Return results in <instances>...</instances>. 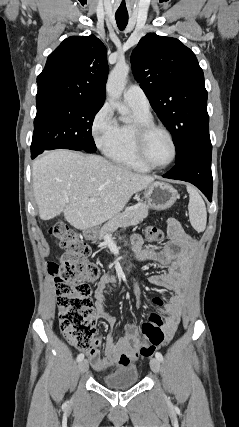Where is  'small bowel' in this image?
Wrapping results in <instances>:
<instances>
[{"label": "small bowel", "instance_id": "obj_1", "mask_svg": "<svg viewBox=\"0 0 239 427\" xmlns=\"http://www.w3.org/2000/svg\"><path fill=\"white\" fill-rule=\"evenodd\" d=\"M169 241L161 248L143 249V240L140 235L132 237V246L135 256L139 261H154L166 269L162 273L149 277L148 282L154 286L169 290L172 295L164 303L166 339L174 335L184 305V285L188 265L194 253V244L186 234L179 222L169 219L167 222ZM115 281L113 274H105L99 280L95 291V317L108 323L111 329L116 324L115 317L103 308V301L107 286ZM161 307L162 305H154ZM100 338L94 339L93 348L87 352L92 367L97 371H104L117 365L122 368L129 367L139 356V331L134 323H127L124 335L115 340L111 334L106 338L104 355L99 353Z\"/></svg>", "mask_w": 239, "mask_h": 427}]
</instances>
